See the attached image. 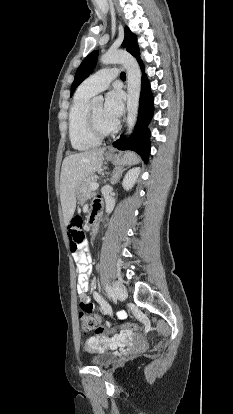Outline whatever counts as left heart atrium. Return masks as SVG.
<instances>
[{
	"instance_id": "39dd6f15",
	"label": "left heart atrium",
	"mask_w": 233,
	"mask_h": 414,
	"mask_svg": "<svg viewBox=\"0 0 233 414\" xmlns=\"http://www.w3.org/2000/svg\"><path fill=\"white\" fill-rule=\"evenodd\" d=\"M123 109L124 107L120 92H109L106 95L103 107L105 117L113 124H117L123 113Z\"/></svg>"
}]
</instances>
